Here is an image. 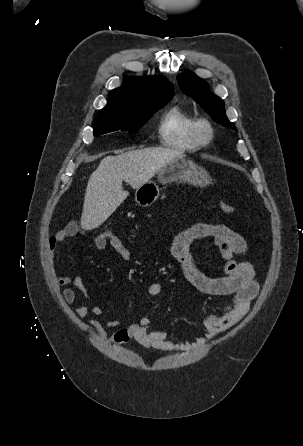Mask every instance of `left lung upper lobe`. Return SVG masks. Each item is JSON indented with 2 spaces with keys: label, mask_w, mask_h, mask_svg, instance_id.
<instances>
[{
  "label": "left lung upper lobe",
  "mask_w": 303,
  "mask_h": 446,
  "mask_svg": "<svg viewBox=\"0 0 303 446\" xmlns=\"http://www.w3.org/2000/svg\"><path fill=\"white\" fill-rule=\"evenodd\" d=\"M177 80L180 89L185 94L192 96L214 121L225 127H234L225 114L224 101L220 97L210 93L209 85L204 79L199 78L191 71H187L179 74Z\"/></svg>",
  "instance_id": "5c2ea615"
}]
</instances>
